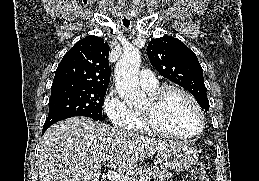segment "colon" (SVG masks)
<instances>
[{
  "label": "colon",
  "mask_w": 259,
  "mask_h": 181,
  "mask_svg": "<svg viewBox=\"0 0 259 181\" xmlns=\"http://www.w3.org/2000/svg\"><path fill=\"white\" fill-rule=\"evenodd\" d=\"M189 181H208L205 167L196 165L191 171Z\"/></svg>",
  "instance_id": "obj_1"
}]
</instances>
